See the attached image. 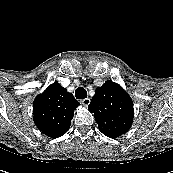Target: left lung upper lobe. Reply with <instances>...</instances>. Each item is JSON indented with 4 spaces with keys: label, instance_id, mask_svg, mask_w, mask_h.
Wrapping results in <instances>:
<instances>
[{
    "label": "left lung upper lobe",
    "instance_id": "obj_1",
    "mask_svg": "<svg viewBox=\"0 0 173 173\" xmlns=\"http://www.w3.org/2000/svg\"><path fill=\"white\" fill-rule=\"evenodd\" d=\"M88 109L94 113L99 130L110 138L126 133L133 122V102L123 88L106 81L95 91Z\"/></svg>",
    "mask_w": 173,
    "mask_h": 173
}]
</instances>
